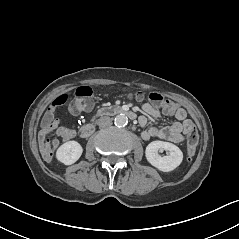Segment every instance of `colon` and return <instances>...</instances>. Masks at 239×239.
<instances>
[{
	"label": "colon",
	"mask_w": 239,
	"mask_h": 239,
	"mask_svg": "<svg viewBox=\"0 0 239 239\" xmlns=\"http://www.w3.org/2000/svg\"><path fill=\"white\" fill-rule=\"evenodd\" d=\"M138 100L147 99L153 103V105L161 108L165 113L172 114L176 110V105L170 100L165 99L161 94L150 93L144 94L137 92L134 94ZM93 91L88 86L78 87L75 92V98L69 106V110L72 113H79L84 110H88L92 107ZM67 101L66 95L58 96L51 104L47 113L44 116L43 123L48 124L54 118V113L58 107L63 105ZM198 144V133L196 130L190 131L187 137V156L190 160L195 152Z\"/></svg>",
	"instance_id": "colon-1"
}]
</instances>
